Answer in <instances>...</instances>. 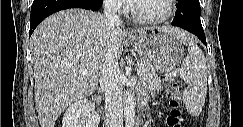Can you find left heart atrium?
I'll return each instance as SVG.
<instances>
[{
    "mask_svg": "<svg viewBox=\"0 0 243 127\" xmlns=\"http://www.w3.org/2000/svg\"><path fill=\"white\" fill-rule=\"evenodd\" d=\"M129 2H130V3H135L136 1L130 0Z\"/></svg>",
    "mask_w": 243,
    "mask_h": 127,
    "instance_id": "left-heart-atrium-1",
    "label": "left heart atrium"
}]
</instances>
